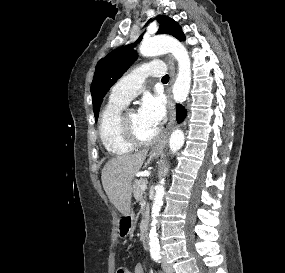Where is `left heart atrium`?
<instances>
[{
    "label": "left heart atrium",
    "instance_id": "obj_1",
    "mask_svg": "<svg viewBox=\"0 0 285 273\" xmlns=\"http://www.w3.org/2000/svg\"><path fill=\"white\" fill-rule=\"evenodd\" d=\"M139 118L146 124L158 128L165 116V107L159 96L145 95L138 110Z\"/></svg>",
    "mask_w": 285,
    "mask_h": 273
}]
</instances>
